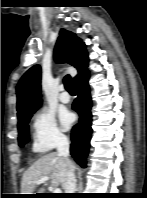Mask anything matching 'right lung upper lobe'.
Wrapping results in <instances>:
<instances>
[{
	"instance_id": "cb5924a9",
	"label": "right lung upper lobe",
	"mask_w": 147,
	"mask_h": 198,
	"mask_svg": "<svg viewBox=\"0 0 147 198\" xmlns=\"http://www.w3.org/2000/svg\"><path fill=\"white\" fill-rule=\"evenodd\" d=\"M54 58L57 63H69L78 70L74 81L87 72L85 44L70 31L60 30ZM41 103V68L35 65L25 72L17 85L18 122L32 115Z\"/></svg>"
}]
</instances>
